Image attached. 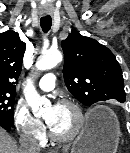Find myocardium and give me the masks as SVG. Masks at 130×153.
Masks as SVG:
<instances>
[{"instance_id":"myocardium-1","label":"myocardium","mask_w":130,"mask_h":153,"mask_svg":"<svg viewBox=\"0 0 130 153\" xmlns=\"http://www.w3.org/2000/svg\"><path fill=\"white\" fill-rule=\"evenodd\" d=\"M59 105L70 107L74 111L76 116L75 125L73 129L66 135H60L56 133L49 125H48V130L52 140L59 143H66V142L73 141L80 134L85 124V115H84L82 107L76 101L72 99H68V98L62 99L59 102Z\"/></svg>"}]
</instances>
